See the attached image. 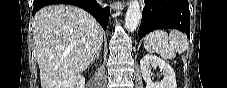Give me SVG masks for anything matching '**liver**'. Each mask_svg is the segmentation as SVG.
Wrapping results in <instances>:
<instances>
[{"label":"liver","mask_w":227,"mask_h":88,"mask_svg":"<svg viewBox=\"0 0 227 88\" xmlns=\"http://www.w3.org/2000/svg\"><path fill=\"white\" fill-rule=\"evenodd\" d=\"M33 38L42 88L79 75L101 49L103 30L86 11L72 5H50L33 19Z\"/></svg>","instance_id":"obj_1"}]
</instances>
